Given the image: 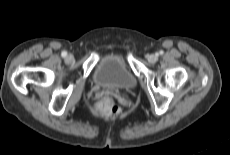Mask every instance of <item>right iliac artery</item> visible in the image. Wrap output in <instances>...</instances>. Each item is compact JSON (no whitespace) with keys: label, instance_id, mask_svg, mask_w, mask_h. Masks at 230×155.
I'll return each mask as SVG.
<instances>
[{"label":"right iliac artery","instance_id":"right-iliac-artery-1","mask_svg":"<svg viewBox=\"0 0 230 155\" xmlns=\"http://www.w3.org/2000/svg\"><path fill=\"white\" fill-rule=\"evenodd\" d=\"M61 56H62V57H66V56H67V52H66V51H63V52L61 53Z\"/></svg>","mask_w":230,"mask_h":155}]
</instances>
